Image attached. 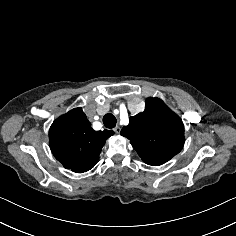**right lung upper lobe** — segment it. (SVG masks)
<instances>
[{
    "mask_svg": "<svg viewBox=\"0 0 236 236\" xmlns=\"http://www.w3.org/2000/svg\"><path fill=\"white\" fill-rule=\"evenodd\" d=\"M112 130L96 132L81 108H75L57 118L50 127V148L62 165L82 173L95 166Z\"/></svg>",
    "mask_w": 236,
    "mask_h": 236,
    "instance_id": "cb5924a9",
    "label": "right lung upper lobe"
}]
</instances>
